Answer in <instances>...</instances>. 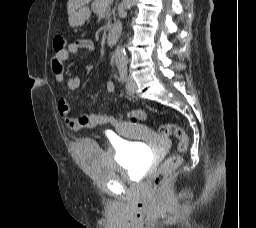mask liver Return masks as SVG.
I'll use <instances>...</instances> for the list:
<instances>
[{"instance_id":"obj_1","label":"liver","mask_w":256,"mask_h":228,"mask_svg":"<svg viewBox=\"0 0 256 228\" xmlns=\"http://www.w3.org/2000/svg\"><path fill=\"white\" fill-rule=\"evenodd\" d=\"M91 0H68L67 3V12L70 15L76 9L84 6L85 4L89 3Z\"/></svg>"}]
</instances>
